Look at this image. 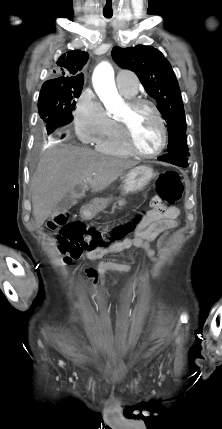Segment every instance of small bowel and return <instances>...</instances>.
<instances>
[{
  "label": "small bowel",
  "mask_w": 222,
  "mask_h": 429,
  "mask_svg": "<svg viewBox=\"0 0 222 429\" xmlns=\"http://www.w3.org/2000/svg\"><path fill=\"white\" fill-rule=\"evenodd\" d=\"M152 209L148 211L142 220L139 222L135 235L132 239H125L121 243L107 249H100L93 252H86L85 256L88 260L95 261L103 258L107 254L120 253L129 248L142 249L147 257L152 261H156L154 249L151 243L155 241L160 234H163L157 241L160 250L164 247V242L171 230L178 226L179 209L175 206L166 207L161 204L159 198L152 201ZM117 271L122 273H130L132 268L130 265L114 260L101 261L95 268L86 270L87 276L92 280L95 287L106 293L103 287V278L106 272Z\"/></svg>",
  "instance_id": "c3829d8e"
}]
</instances>
